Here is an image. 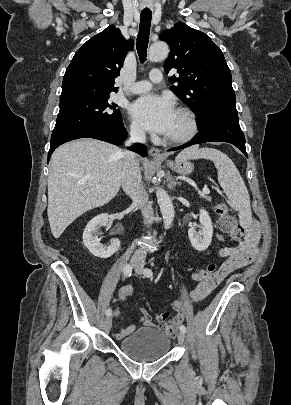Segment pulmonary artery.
Instances as JSON below:
<instances>
[{"label": "pulmonary artery", "mask_w": 291, "mask_h": 405, "mask_svg": "<svg viewBox=\"0 0 291 405\" xmlns=\"http://www.w3.org/2000/svg\"><path fill=\"white\" fill-rule=\"evenodd\" d=\"M163 80V74L159 69L151 70L149 74V80L138 81L131 85L129 88V93L131 94H141L149 91L153 83H159Z\"/></svg>", "instance_id": "obj_1"}]
</instances>
